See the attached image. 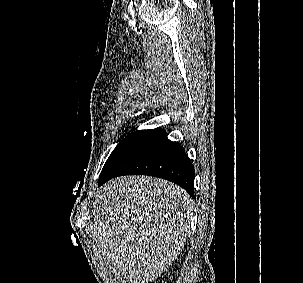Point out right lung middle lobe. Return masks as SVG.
I'll return each mask as SVG.
<instances>
[{
  "label": "right lung middle lobe",
  "instance_id": "1",
  "mask_svg": "<svg viewBox=\"0 0 303 283\" xmlns=\"http://www.w3.org/2000/svg\"><path fill=\"white\" fill-rule=\"evenodd\" d=\"M145 131L146 130L132 131V133L125 136V138H122L107 159L100 176L106 174Z\"/></svg>",
  "mask_w": 303,
  "mask_h": 283
}]
</instances>
